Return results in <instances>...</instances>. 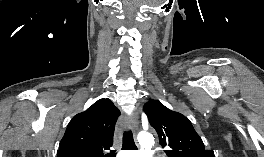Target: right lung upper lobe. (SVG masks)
I'll return each mask as SVG.
<instances>
[{"instance_id": "1", "label": "right lung upper lobe", "mask_w": 264, "mask_h": 157, "mask_svg": "<svg viewBox=\"0 0 264 157\" xmlns=\"http://www.w3.org/2000/svg\"><path fill=\"white\" fill-rule=\"evenodd\" d=\"M120 115L109 99H100L69 122L57 157H114L105 154L113 145L114 128Z\"/></svg>"}]
</instances>
